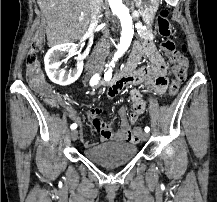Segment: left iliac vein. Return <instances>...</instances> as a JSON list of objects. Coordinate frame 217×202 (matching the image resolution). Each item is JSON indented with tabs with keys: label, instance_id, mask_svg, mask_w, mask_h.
Here are the masks:
<instances>
[{
	"label": "left iliac vein",
	"instance_id": "left-iliac-vein-1",
	"mask_svg": "<svg viewBox=\"0 0 217 202\" xmlns=\"http://www.w3.org/2000/svg\"><path fill=\"white\" fill-rule=\"evenodd\" d=\"M149 138V134L147 132L140 133V139L146 141Z\"/></svg>",
	"mask_w": 217,
	"mask_h": 202
}]
</instances>
